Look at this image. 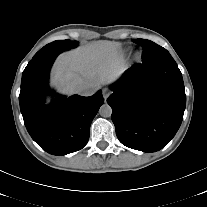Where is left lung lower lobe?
<instances>
[{
  "label": "left lung lower lobe",
  "instance_id": "obj_1",
  "mask_svg": "<svg viewBox=\"0 0 207 207\" xmlns=\"http://www.w3.org/2000/svg\"><path fill=\"white\" fill-rule=\"evenodd\" d=\"M112 89L107 102L123 145L155 152L174 137L183 119L186 95L173 58L132 66Z\"/></svg>",
  "mask_w": 207,
  "mask_h": 207
}]
</instances>
